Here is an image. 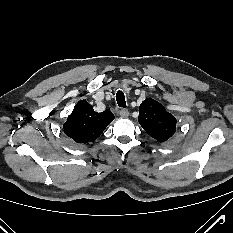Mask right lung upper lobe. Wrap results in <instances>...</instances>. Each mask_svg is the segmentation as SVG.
<instances>
[{"label":"right lung upper lobe","instance_id":"right-lung-upper-lobe-1","mask_svg":"<svg viewBox=\"0 0 233 233\" xmlns=\"http://www.w3.org/2000/svg\"><path fill=\"white\" fill-rule=\"evenodd\" d=\"M114 119L111 111L95 112L85 100L79 101L63 125L65 134L77 143L96 140Z\"/></svg>","mask_w":233,"mask_h":233}]
</instances>
